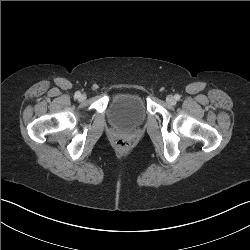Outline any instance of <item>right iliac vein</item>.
Masks as SVG:
<instances>
[{
	"label": "right iliac vein",
	"mask_w": 250,
	"mask_h": 250,
	"mask_svg": "<svg viewBox=\"0 0 250 250\" xmlns=\"http://www.w3.org/2000/svg\"><path fill=\"white\" fill-rule=\"evenodd\" d=\"M86 98V95L85 94H82L81 96H80V100H84Z\"/></svg>",
	"instance_id": "1"
}]
</instances>
